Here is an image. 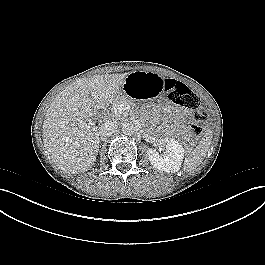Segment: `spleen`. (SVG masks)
Listing matches in <instances>:
<instances>
[{
  "label": "spleen",
  "instance_id": "1",
  "mask_svg": "<svg viewBox=\"0 0 265 265\" xmlns=\"http://www.w3.org/2000/svg\"><path fill=\"white\" fill-rule=\"evenodd\" d=\"M211 140H212V133L211 131H207L205 133L204 138H202V140L196 146V148L186 156L183 165L186 171L193 170L202 163L203 159L205 158L209 150Z\"/></svg>",
  "mask_w": 265,
  "mask_h": 265
}]
</instances>
